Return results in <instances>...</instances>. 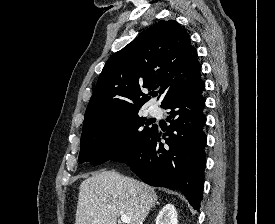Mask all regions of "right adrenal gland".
Masks as SVG:
<instances>
[{
    "label": "right adrenal gland",
    "instance_id": "2a0ac1e0",
    "mask_svg": "<svg viewBox=\"0 0 275 224\" xmlns=\"http://www.w3.org/2000/svg\"><path fill=\"white\" fill-rule=\"evenodd\" d=\"M156 205H159V202H156ZM155 206V205H154Z\"/></svg>",
    "mask_w": 275,
    "mask_h": 224
}]
</instances>
